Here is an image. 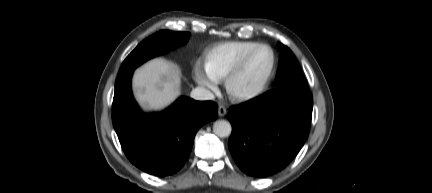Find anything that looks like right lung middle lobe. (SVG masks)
Wrapping results in <instances>:
<instances>
[{"label": "right lung middle lobe", "mask_w": 432, "mask_h": 193, "mask_svg": "<svg viewBox=\"0 0 432 193\" xmlns=\"http://www.w3.org/2000/svg\"><path fill=\"white\" fill-rule=\"evenodd\" d=\"M188 32L162 30L141 42L124 60L119 75L133 71L150 58L163 54L170 49L186 44Z\"/></svg>", "instance_id": "1"}]
</instances>
